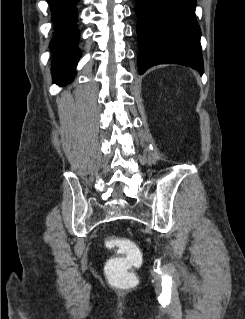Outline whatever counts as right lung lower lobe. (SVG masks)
<instances>
[{
	"label": "right lung lower lobe",
	"instance_id": "obj_1",
	"mask_svg": "<svg viewBox=\"0 0 245 319\" xmlns=\"http://www.w3.org/2000/svg\"><path fill=\"white\" fill-rule=\"evenodd\" d=\"M52 11L55 26L54 37L50 43L53 52L52 73L54 82L65 85L74 75L80 58L78 49L79 32L76 27L78 0H47Z\"/></svg>",
	"mask_w": 245,
	"mask_h": 319
}]
</instances>
